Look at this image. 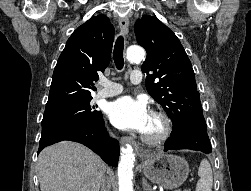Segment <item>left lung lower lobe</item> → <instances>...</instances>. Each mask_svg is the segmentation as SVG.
Listing matches in <instances>:
<instances>
[{
  "instance_id": "0a47b994",
  "label": "left lung lower lobe",
  "mask_w": 251,
  "mask_h": 191,
  "mask_svg": "<svg viewBox=\"0 0 251 191\" xmlns=\"http://www.w3.org/2000/svg\"><path fill=\"white\" fill-rule=\"evenodd\" d=\"M190 149L209 154L212 152L211 143L206 129L192 126L171 134L165 143L164 151Z\"/></svg>"
}]
</instances>
